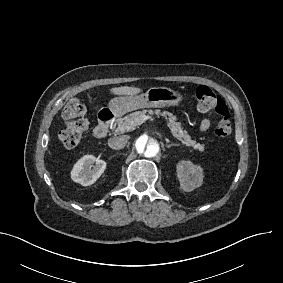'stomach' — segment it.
Here are the masks:
<instances>
[{
	"instance_id": "1",
	"label": "stomach",
	"mask_w": 283,
	"mask_h": 283,
	"mask_svg": "<svg viewBox=\"0 0 283 283\" xmlns=\"http://www.w3.org/2000/svg\"><path fill=\"white\" fill-rule=\"evenodd\" d=\"M182 100V96L167 87H152L146 93L140 95L119 96L110 100L109 109L117 117L143 108H162L176 106Z\"/></svg>"
}]
</instances>
